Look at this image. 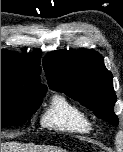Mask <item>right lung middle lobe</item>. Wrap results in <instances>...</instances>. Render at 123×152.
<instances>
[{
    "instance_id": "dd1d6c3e",
    "label": "right lung middle lobe",
    "mask_w": 123,
    "mask_h": 152,
    "mask_svg": "<svg viewBox=\"0 0 123 152\" xmlns=\"http://www.w3.org/2000/svg\"><path fill=\"white\" fill-rule=\"evenodd\" d=\"M45 93L21 90L14 83L1 81V126L25 123L39 108Z\"/></svg>"
}]
</instances>
